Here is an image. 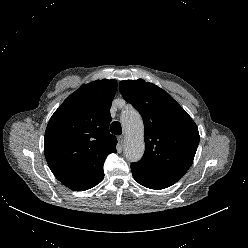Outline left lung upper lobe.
I'll list each match as a JSON object with an SVG mask.
<instances>
[{"instance_id":"1","label":"left lung upper lobe","mask_w":248,"mask_h":248,"mask_svg":"<svg viewBox=\"0 0 248 248\" xmlns=\"http://www.w3.org/2000/svg\"><path fill=\"white\" fill-rule=\"evenodd\" d=\"M124 99L141 114L145 153L131 164L134 179L155 190L176 183L189 169L199 144L196 124L164 90L143 79L119 84Z\"/></svg>"}]
</instances>
